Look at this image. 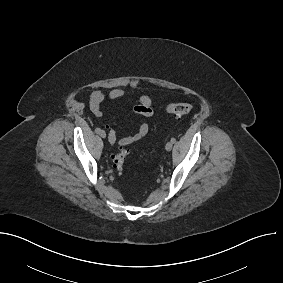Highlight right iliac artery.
I'll use <instances>...</instances> for the list:
<instances>
[{
    "instance_id": "1",
    "label": "right iliac artery",
    "mask_w": 283,
    "mask_h": 283,
    "mask_svg": "<svg viewBox=\"0 0 283 283\" xmlns=\"http://www.w3.org/2000/svg\"><path fill=\"white\" fill-rule=\"evenodd\" d=\"M101 131H102V130H101L100 128H96V129H95V132L98 133V134H100Z\"/></svg>"
}]
</instances>
